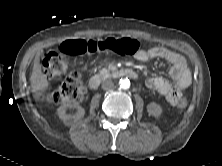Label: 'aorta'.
<instances>
[{"label": "aorta", "instance_id": "762f6f07", "mask_svg": "<svg viewBox=\"0 0 222 166\" xmlns=\"http://www.w3.org/2000/svg\"><path fill=\"white\" fill-rule=\"evenodd\" d=\"M119 84L122 89H128L130 87V81L127 78L120 79Z\"/></svg>", "mask_w": 222, "mask_h": 166}]
</instances>
